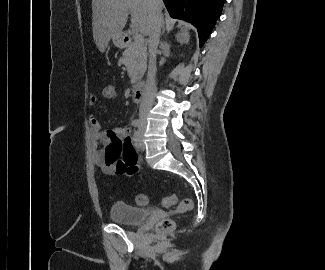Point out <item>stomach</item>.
<instances>
[{"label":"stomach","instance_id":"0dacf381","mask_svg":"<svg viewBox=\"0 0 325 270\" xmlns=\"http://www.w3.org/2000/svg\"><path fill=\"white\" fill-rule=\"evenodd\" d=\"M113 42L117 47L123 48L124 47L123 35L122 34L115 35L113 37Z\"/></svg>","mask_w":325,"mask_h":270}]
</instances>
